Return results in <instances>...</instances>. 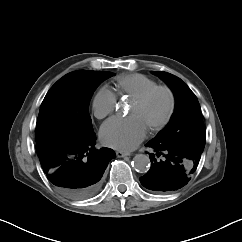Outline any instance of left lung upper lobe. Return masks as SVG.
<instances>
[{
  "label": "left lung upper lobe",
  "instance_id": "1",
  "mask_svg": "<svg viewBox=\"0 0 242 242\" xmlns=\"http://www.w3.org/2000/svg\"><path fill=\"white\" fill-rule=\"evenodd\" d=\"M171 88L176 104L168 125L152 141L169 146H187L201 152L205 146V126L195 94L184 81L167 72H153Z\"/></svg>",
  "mask_w": 242,
  "mask_h": 242
}]
</instances>
